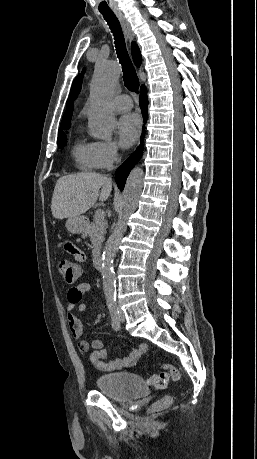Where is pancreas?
<instances>
[{"label":"pancreas","mask_w":257,"mask_h":459,"mask_svg":"<svg viewBox=\"0 0 257 459\" xmlns=\"http://www.w3.org/2000/svg\"><path fill=\"white\" fill-rule=\"evenodd\" d=\"M107 227L108 224L106 221L94 218L92 223L86 225L82 233V236H89L92 243V254L94 257L100 252Z\"/></svg>","instance_id":"pancreas-1"}]
</instances>
